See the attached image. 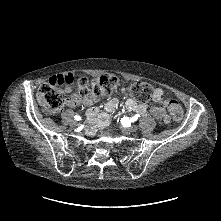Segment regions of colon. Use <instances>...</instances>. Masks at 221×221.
I'll return each mask as SVG.
<instances>
[{
  "label": "colon",
  "instance_id": "5ec220e1",
  "mask_svg": "<svg viewBox=\"0 0 221 221\" xmlns=\"http://www.w3.org/2000/svg\"><path fill=\"white\" fill-rule=\"evenodd\" d=\"M73 80L61 84H43L38 91V101L42 108L49 113L59 111L68 100L74 96H105L111 94L117 87L118 79L115 76H101L95 80L80 78L76 86H70ZM72 93L68 98L67 95ZM131 95L140 102H146L153 96L152 87L144 82L133 83L130 87ZM170 115L175 122L183 118L181 106L173 99L168 101Z\"/></svg>",
  "mask_w": 221,
  "mask_h": 221
}]
</instances>
